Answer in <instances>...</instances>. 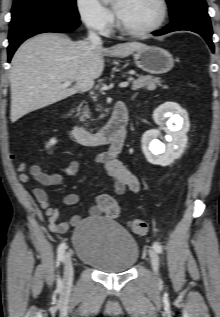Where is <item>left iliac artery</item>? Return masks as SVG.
<instances>
[{"label":"left iliac artery","instance_id":"obj_1","mask_svg":"<svg viewBox=\"0 0 220 317\" xmlns=\"http://www.w3.org/2000/svg\"><path fill=\"white\" fill-rule=\"evenodd\" d=\"M152 247L157 253H162V246L159 243H153Z\"/></svg>","mask_w":220,"mask_h":317}]
</instances>
